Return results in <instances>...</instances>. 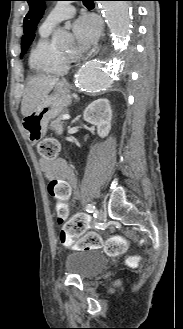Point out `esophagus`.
I'll return each instance as SVG.
<instances>
[{
	"label": "esophagus",
	"instance_id": "esophagus-1",
	"mask_svg": "<svg viewBox=\"0 0 183 329\" xmlns=\"http://www.w3.org/2000/svg\"><path fill=\"white\" fill-rule=\"evenodd\" d=\"M100 16H101V14H100ZM101 24H102V36H104V30H105V24H104V20H103V18L101 17Z\"/></svg>",
	"mask_w": 183,
	"mask_h": 329
}]
</instances>
